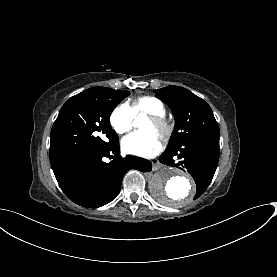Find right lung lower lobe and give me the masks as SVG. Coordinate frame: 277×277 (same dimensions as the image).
<instances>
[{
  "mask_svg": "<svg viewBox=\"0 0 277 277\" xmlns=\"http://www.w3.org/2000/svg\"><path fill=\"white\" fill-rule=\"evenodd\" d=\"M119 142L103 150H85L51 161L62 191L76 204L95 208L111 202L121 190L129 169L151 171L148 160L119 156ZM112 159L109 162L107 159Z\"/></svg>",
  "mask_w": 277,
  "mask_h": 277,
  "instance_id": "right-lung-lower-lobe-1",
  "label": "right lung lower lobe"
}]
</instances>
